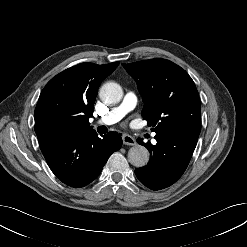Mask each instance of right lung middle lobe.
I'll use <instances>...</instances> for the list:
<instances>
[{"label": "right lung middle lobe", "instance_id": "1", "mask_svg": "<svg viewBox=\"0 0 247 247\" xmlns=\"http://www.w3.org/2000/svg\"><path fill=\"white\" fill-rule=\"evenodd\" d=\"M71 127L67 124H58L54 127L53 131L55 130H69Z\"/></svg>", "mask_w": 247, "mask_h": 247}]
</instances>
